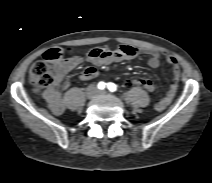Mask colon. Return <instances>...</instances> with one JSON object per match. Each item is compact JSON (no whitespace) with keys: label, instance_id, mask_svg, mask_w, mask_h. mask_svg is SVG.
<instances>
[{"label":"colon","instance_id":"colon-1","mask_svg":"<svg viewBox=\"0 0 212 183\" xmlns=\"http://www.w3.org/2000/svg\"><path fill=\"white\" fill-rule=\"evenodd\" d=\"M68 50L63 48H52L45 52L44 59L35 62L29 72L30 82L35 88H46L53 85L55 81V67L58 62L64 59ZM126 87H137L149 90L152 82L149 79L137 78L128 80Z\"/></svg>","mask_w":212,"mask_h":183}]
</instances>
